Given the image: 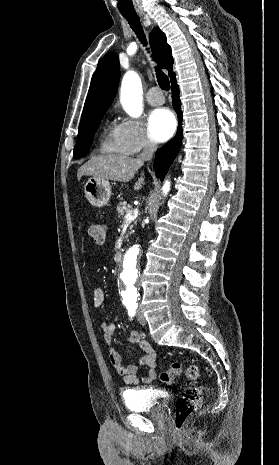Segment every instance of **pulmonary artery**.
I'll list each match as a JSON object with an SVG mask.
<instances>
[{
    "mask_svg": "<svg viewBox=\"0 0 279 465\" xmlns=\"http://www.w3.org/2000/svg\"><path fill=\"white\" fill-rule=\"evenodd\" d=\"M147 101L149 104L158 106L164 103L165 99L162 92L157 88H151L147 93Z\"/></svg>",
    "mask_w": 279,
    "mask_h": 465,
    "instance_id": "e3ab8cb5",
    "label": "pulmonary artery"
}]
</instances>
